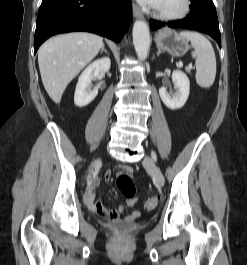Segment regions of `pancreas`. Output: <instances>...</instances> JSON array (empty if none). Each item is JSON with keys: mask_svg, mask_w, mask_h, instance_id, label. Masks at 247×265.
<instances>
[{"mask_svg": "<svg viewBox=\"0 0 247 265\" xmlns=\"http://www.w3.org/2000/svg\"><path fill=\"white\" fill-rule=\"evenodd\" d=\"M186 70H187V72H189V73H190V68H186Z\"/></svg>", "mask_w": 247, "mask_h": 265, "instance_id": "cf45deb5", "label": "pancreas"}]
</instances>
